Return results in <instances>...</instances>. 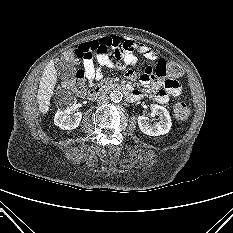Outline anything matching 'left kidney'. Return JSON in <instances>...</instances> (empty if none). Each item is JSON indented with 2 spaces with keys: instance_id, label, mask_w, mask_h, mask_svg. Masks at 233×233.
<instances>
[{
  "instance_id": "5707ae66",
  "label": "left kidney",
  "mask_w": 233,
  "mask_h": 233,
  "mask_svg": "<svg viewBox=\"0 0 233 233\" xmlns=\"http://www.w3.org/2000/svg\"><path fill=\"white\" fill-rule=\"evenodd\" d=\"M152 113L159 117V122L150 123L149 118L145 116L138 117V125L141 132L149 136H160L169 132L171 129V117L167 109L163 106L151 105Z\"/></svg>"
}]
</instances>
